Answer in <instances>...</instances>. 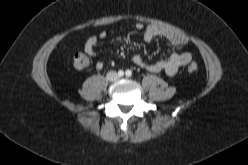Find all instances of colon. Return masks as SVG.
<instances>
[{
	"mask_svg": "<svg viewBox=\"0 0 248 165\" xmlns=\"http://www.w3.org/2000/svg\"><path fill=\"white\" fill-rule=\"evenodd\" d=\"M90 65V58L83 54V53H77L74 56V66L77 69H85ZM198 69V66L196 63L192 62L188 65V71L191 73L196 72Z\"/></svg>",
	"mask_w": 248,
	"mask_h": 165,
	"instance_id": "1",
	"label": "colon"
}]
</instances>
